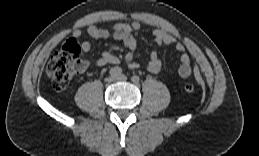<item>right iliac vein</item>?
Here are the masks:
<instances>
[{
	"instance_id": "1",
	"label": "right iliac vein",
	"mask_w": 259,
	"mask_h": 156,
	"mask_svg": "<svg viewBox=\"0 0 259 156\" xmlns=\"http://www.w3.org/2000/svg\"><path fill=\"white\" fill-rule=\"evenodd\" d=\"M115 80H116L115 77L110 76V77H107L105 81H106L107 83H111V82H113V81H115Z\"/></svg>"
}]
</instances>
